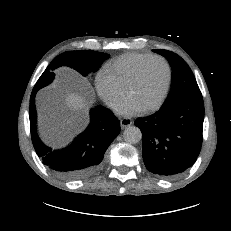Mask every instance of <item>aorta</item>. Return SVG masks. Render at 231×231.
<instances>
[{"mask_svg": "<svg viewBox=\"0 0 231 231\" xmlns=\"http://www.w3.org/2000/svg\"><path fill=\"white\" fill-rule=\"evenodd\" d=\"M125 142L129 144H136L142 139V133L136 126H128L123 133Z\"/></svg>", "mask_w": 231, "mask_h": 231, "instance_id": "aorta-1", "label": "aorta"}]
</instances>
